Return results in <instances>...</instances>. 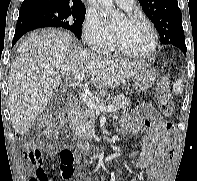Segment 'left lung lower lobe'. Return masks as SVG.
Returning a JSON list of instances; mask_svg holds the SVG:
<instances>
[{
	"label": "left lung lower lobe",
	"instance_id": "0a47b994",
	"mask_svg": "<svg viewBox=\"0 0 197 181\" xmlns=\"http://www.w3.org/2000/svg\"><path fill=\"white\" fill-rule=\"evenodd\" d=\"M179 49L186 55V52H187L186 46L185 47H180Z\"/></svg>",
	"mask_w": 197,
	"mask_h": 181
}]
</instances>
